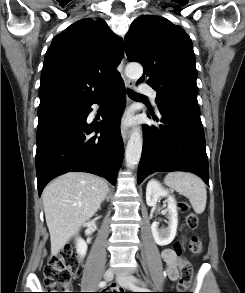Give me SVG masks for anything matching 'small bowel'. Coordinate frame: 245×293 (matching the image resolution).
Returning a JSON list of instances; mask_svg holds the SVG:
<instances>
[{
  "mask_svg": "<svg viewBox=\"0 0 245 293\" xmlns=\"http://www.w3.org/2000/svg\"><path fill=\"white\" fill-rule=\"evenodd\" d=\"M162 260L166 266V274L171 281H176L179 278V270L183 265L172 249H165L162 252ZM123 293V292H116Z\"/></svg>",
  "mask_w": 245,
  "mask_h": 293,
  "instance_id": "small-bowel-1",
  "label": "small bowel"
}]
</instances>
